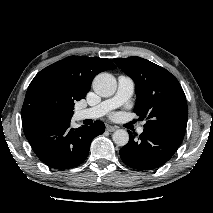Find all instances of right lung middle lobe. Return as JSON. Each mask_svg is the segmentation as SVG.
<instances>
[{
	"instance_id": "1",
	"label": "right lung middle lobe",
	"mask_w": 213,
	"mask_h": 213,
	"mask_svg": "<svg viewBox=\"0 0 213 213\" xmlns=\"http://www.w3.org/2000/svg\"><path fill=\"white\" fill-rule=\"evenodd\" d=\"M63 107L62 102L56 96L41 94L33 99L28 111L34 119L55 121Z\"/></svg>"
}]
</instances>
